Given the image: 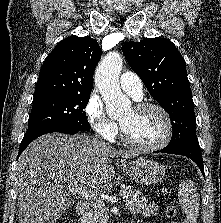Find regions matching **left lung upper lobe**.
I'll use <instances>...</instances> for the list:
<instances>
[{
	"label": "left lung upper lobe",
	"instance_id": "left-lung-upper-lobe-1",
	"mask_svg": "<svg viewBox=\"0 0 221 223\" xmlns=\"http://www.w3.org/2000/svg\"><path fill=\"white\" fill-rule=\"evenodd\" d=\"M131 68L171 118L173 133L168 146L199 144L186 64L175 45L164 38H146L122 46Z\"/></svg>",
	"mask_w": 221,
	"mask_h": 223
}]
</instances>
